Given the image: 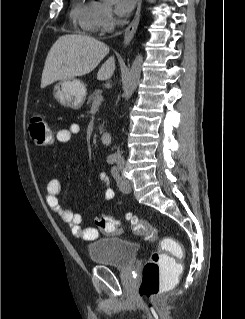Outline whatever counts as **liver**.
I'll return each instance as SVG.
<instances>
[{
    "label": "liver",
    "mask_w": 245,
    "mask_h": 319,
    "mask_svg": "<svg viewBox=\"0 0 245 319\" xmlns=\"http://www.w3.org/2000/svg\"><path fill=\"white\" fill-rule=\"evenodd\" d=\"M109 53V47L97 39L80 34L58 38L51 47L42 72L40 87L55 81L69 80L93 71ZM115 71V58L109 57L97 73L98 80H107Z\"/></svg>",
    "instance_id": "liver-1"
}]
</instances>
